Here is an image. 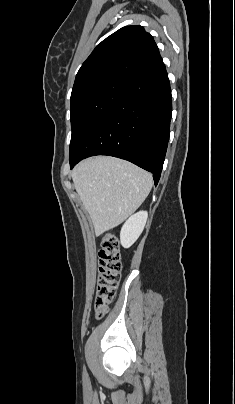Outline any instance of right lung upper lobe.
Listing matches in <instances>:
<instances>
[{
	"instance_id": "1",
	"label": "right lung upper lobe",
	"mask_w": 235,
	"mask_h": 404,
	"mask_svg": "<svg viewBox=\"0 0 235 404\" xmlns=\"http://www.w3.org/2000/svg\"><path fill=\"white\" fill-rule=\"evenodd\" d=\"M163 64L153 37L141 26H126L103 40L79 69L71 96L91 85L129 81Z\"/></svg>"
}]
</instances>
